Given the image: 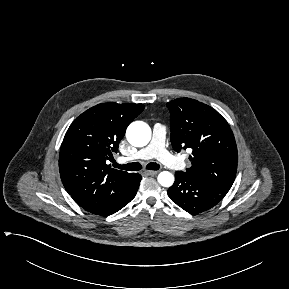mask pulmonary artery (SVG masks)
<instances>
[{
    "label": "pulmonary artery",
    "instance_id": "1",
    "mask_svg": "<svg viewBox=\"0 0 289 289\" xmlns=\"http://www.w3.org/2000/svg\"><path fill=\"white\" fill-rule=\"evenodd\" d=\"M166 127L161 124H155L153 127V134L150 143L137 151L132 157L130 158H123L122 161L127 159H151L156 158L161 161L166 166L172 168H179L182 166V162L171 155L165 149V139H166Z\"/></svg>",
    "mask_w": 289,
    "mask_h": 289
}]
</instances>
